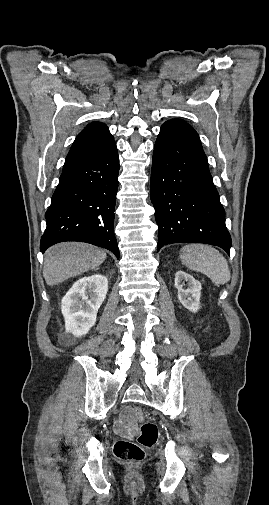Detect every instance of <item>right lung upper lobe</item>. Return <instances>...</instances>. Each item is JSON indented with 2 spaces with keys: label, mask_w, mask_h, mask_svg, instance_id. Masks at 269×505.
Wrapping results in <instances>:
<instances>
[{
  "label": "right lung upper lobe",
  "mask_w": 269,
  "mask_h": 505,
  "mask_svg": "<svg viewBox=\"0 0 269 505\" xmlns=\"http://www.w3.org/2000/svg\"><path fill=\"white\" fill-rule=\"evenodd\" d=\"M114 142L108 127L100 122H93L85 127L76 137L66 157L65 163L93 155Z\"/></svg>",
  "instance_id": "1"
}]
</instances>
